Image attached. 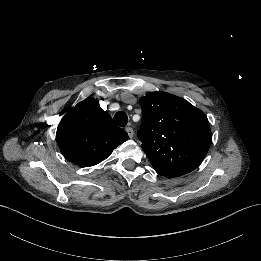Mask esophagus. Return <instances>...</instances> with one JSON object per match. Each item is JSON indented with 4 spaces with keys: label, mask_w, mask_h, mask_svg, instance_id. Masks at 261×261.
Instances as JSON below:
<instances>
[{
    "label": "esophagus",
    "mask_w": 261,
    "mask_h": 261,
    "mask_svg": "<svg viewBox=\"0 0 261 261\" xmlns=\"http://www.w3.org/2000/svg\"><path fill=\"white\" fill-rule=\"evenodd\" d=\"M125 130L128 133V136L130 138H132L133 137V129L131 127H126Z\"/></svg>",
    "instance_id": "34e87169"
}]
</instances>
